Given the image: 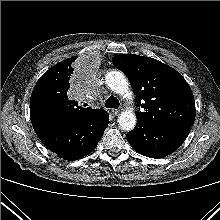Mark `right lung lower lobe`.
<instances>
[{"label":"right lung lower lobe","instance_id":"obj_1","mask_svg":"<svg viewBox=\"0 0 220 220\" xmlns=\"http://www.w3.org/2000/svg\"><path fill=\"white\" fill-rule=\"evenodd\" d=\"M31 122L37 136L50 151L73 161L95 149L109 124V115L103 111L73 122L52 118Z\"/></svg>","mask_w":220,"mask_h":220}]
</instances>
